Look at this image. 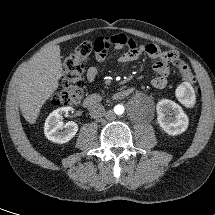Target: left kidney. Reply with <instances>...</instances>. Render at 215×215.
I'll return each mask as SVG.
<instances>
[{
    "label": "left kidney",
    "instance_id": "obj_1",
    "mask_svg": "<svg viewBox=\"0 0 215 215\" xmlns=\"http://www.w3.org/2000/svg\"><path fill=\"white\" fill-rule=\"evenodd\" d=\"M156 110L158 124L168 135H178L187 130L188 117L174 101L162 99L157 103Z\"/></svg>",
    "mask_w": 215,
    "mask_h": 215
}]
</instances>
